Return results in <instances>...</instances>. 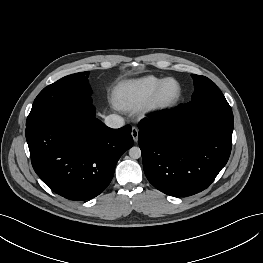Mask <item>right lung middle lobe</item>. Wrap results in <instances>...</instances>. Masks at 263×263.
Instances as JSON below:
<instances>
[{
    "instance_id": "1",
    "label": "right lung middle lobe",
    "mask_w": 263,
    "mask_h": 263,
    "mask_svg": "<svg viewBox=\"0 0 263 263\" xmlns=\"http://www.w3.org/2000/svg\"><path fill=\"white\" fill-rule=\"evenodd\" d=\"M89 71L65 76L45 87L36 97L28 115L26 126L41 120L48 113L59 108L77 111L90 97L91 89L86 76Z\"/></svg>"
}]
</instances>
